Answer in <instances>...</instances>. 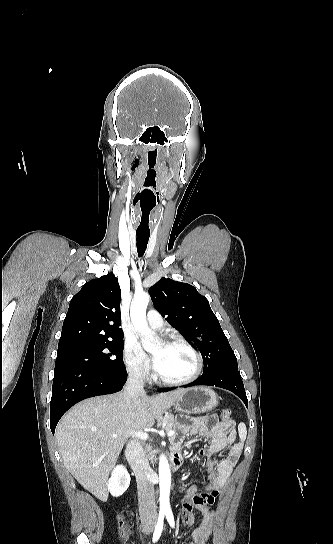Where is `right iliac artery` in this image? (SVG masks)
I'll list each match as a JSON object with an SVG mask.
<instances>
[{
	"instance_id": "right-iliac-artery-1",
	"label": "right iliac artery",
	"mask_w": 333,
	"mask_h": 544,
	"mask_svg": "<svg viewBox=\"0 0 333 544\" xmlns=\"http://www.w3.org/2000/svg\"><path fill=\"white\" fill-rule=\"evenodd\" d=\"M163 524H164V513L159 514L158 522L156 524L152 541L155 543L158 541V539L161 536L162 530H163Z\"/></svg>"
}]
</instances>
